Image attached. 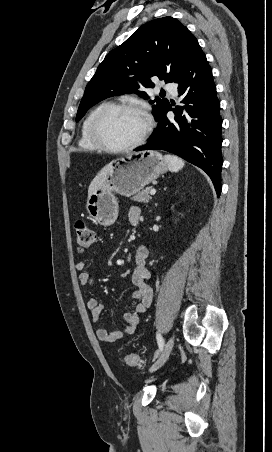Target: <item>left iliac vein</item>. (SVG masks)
<instances>
[{
  "instance_id": "left-iliac-vein-1",
  "label": "left iliac vein",
  "mask_w": 272,
  "mask_h": 452,
  "mask_svg": "<svg viewBox=\"0 0 272 452\" xmlns=\"http://www.w3.org/2000/svg\"><path fill=\"white\" fill-rule=\"evenodd\" d=\"M173 346H174V338L170 337L168 339V341L166 342L161 355L155 361V363L150 367V369H149L150 372H154V371L158 370L160 367H162L164 365V363L169 358V355H170V353H171V351L173 349Z\"/></svg>"
}]
</instances>
